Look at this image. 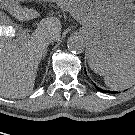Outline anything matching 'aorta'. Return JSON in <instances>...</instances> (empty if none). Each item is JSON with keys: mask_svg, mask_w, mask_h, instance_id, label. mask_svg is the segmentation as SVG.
<instances>
[{"mask_svg": "<svg viewBox=\"0 0 135 135\" xmlns=\"http://www.w3.org/2000/svg\"><path fill=\"white\" fill-rule=\"evenodd\" d=\"M68 49L76 54H80L84 51L85 41L82 37L73 35L67 41Z\"/></svg>", "mask_w": 135, "mask_h": 135, "instance_id": "obj_1", "label": "aorta"}]
</instances>
